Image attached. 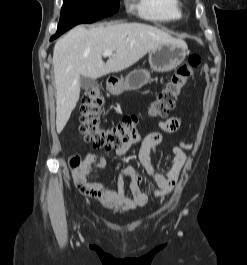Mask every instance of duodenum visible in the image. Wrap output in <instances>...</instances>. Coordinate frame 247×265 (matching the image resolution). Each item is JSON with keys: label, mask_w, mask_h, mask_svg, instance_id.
<instances>
[{"label": "duodenum", "mask_w": 247, "mask_h": 265, "mask_svg": "<svg viewBox=\"0 0 247 265\" xmlns=\"http://www.w3.org/2000/svg\"><path fill=\"white\" fill-rule=\"evenodd\" d=\"M108 83L110 86H114L116 84V80L114 78H110Z\"/></svg>", "instance_id": "obj_1"}]
</instances>
